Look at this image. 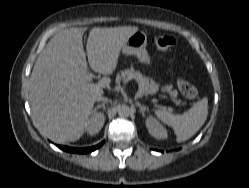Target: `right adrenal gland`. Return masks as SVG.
Wrapping results in <instances>:
<instances>
[{
  "label": "right adrenal gland",
  "instance_id": "2a0ac1e0",
  "mask_svg": "<svg viewBox=\"0 0 249 188\" xmlns=\"http://www.w3.org/2000/svg\"><path fill=\"white\" fill-rule=\"evenodd\" d=\"M109 101H110L109 99H106L105 101H103V103L98 104V105L95 107L94 111H97V110L100 109V108H103V110L105 111V110H106L105 104H106L107 102H109Z\"/></svg>",
  "mask_w": 249,
  "mask_h": 188
}]
</instances>
